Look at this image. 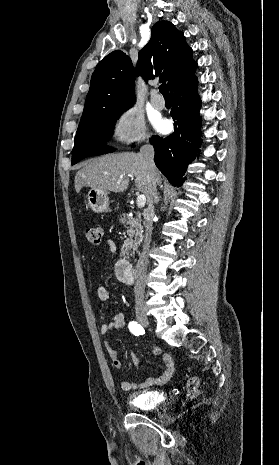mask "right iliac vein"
Returning a JSON list of instances; mask_svg holds the SVG:
<instances>
[{"label":"right iliac vein","mask_w":279,"mask_h":465,"mask_svg":"<svg viewBox=\"0 0 279 465\" xmlns=\"http://www.w3.org/2000/svg\"><path fill=\"white\" fill-rule=\"evenodd\" d=\"M136 318L138 322L144 327H149L150 322L143 308L136 309Z\"/></svg>","instance_id":"1"}]
</instances>
